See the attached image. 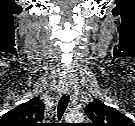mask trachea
I'll use <instances>...</instances> for the list:
<instances>
[{
	"label": "trachea",
	"instance_id": "obj_1",
	"mask_svg": "<svg viewBox=\"0 0 135 126\" xmlns=\"http://www.w3.org/2000/svg\"><path fill=\"white\" fill-rule=\"evenodd\" d=\"M69 99H70L69 95H63L59 101L58 112H57L59 120H61V118L65 112V109L67 108Z\"/></svg>",
	"mask_w": 135,
	"mask_h": 126
}]
</instances>
